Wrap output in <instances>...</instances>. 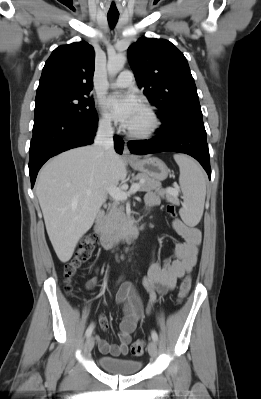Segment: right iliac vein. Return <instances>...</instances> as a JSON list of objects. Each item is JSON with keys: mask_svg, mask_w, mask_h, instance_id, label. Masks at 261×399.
<instances>
[{"mask_svg": "<svg viewBox=\"0 0 261 399\" xmlns=\"http://www.w3.org/2000/svg\"><path fill=\"white\" fill-rule=\"evenodd\" d=\"M94 338L92 336L88 337L85 342L84 351L85 353H89L94 347Z\"/></svg>", "mask_w": 261, "mask_h": 399, "instance_id": "1", "label": "right iliac vein"}]
</instances>
